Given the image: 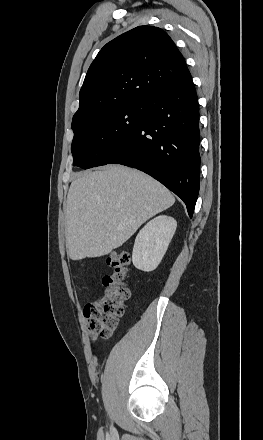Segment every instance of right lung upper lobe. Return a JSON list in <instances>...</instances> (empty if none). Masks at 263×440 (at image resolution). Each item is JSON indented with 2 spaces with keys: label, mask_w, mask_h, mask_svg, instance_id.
<instances>
[{
  "label": "right lung upper lobe",
  "mask_w": 263,
  "mask_h": 440,
  "mask_svg": "<svg viewBox=\"0 0 263 440\" xmlns=\"http://www.w3.org/2000/svg\"><path fill=\"white\" fill-rule=\"evenodd\" d=\"M189 74L182 54L165 31L136 27L107 43L90 65L72 128L103 110L145 102Z\"/></svg>",
  "instance_id": "right-lung-upper-lobe-1"
}]
</instances>
